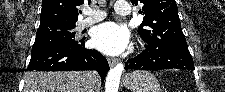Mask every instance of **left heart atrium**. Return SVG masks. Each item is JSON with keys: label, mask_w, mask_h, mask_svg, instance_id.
<instances>
[{"label": "left heart atrium", "mask_w": 225, "mask_h": 92, "mask_svg": "<svg viewBox=\"0 0 225 92\" xmlns=\"http://www.w3.org/2000/svg\"><path fill=\"white\" fill-rule=\"evenodd\" d=\"M92 44L107 55H116L127 47L128 31L115 22L103 23L93 30Z\"/></svg>", "instance_id": "39dd6f15"}]
</instances>
